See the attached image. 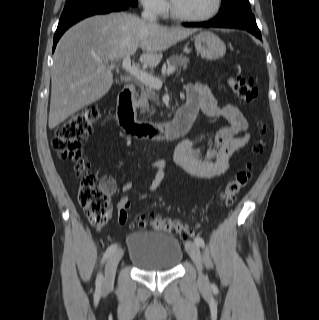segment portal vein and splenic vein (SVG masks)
I'll use <instances>...</instances> for the list:
<instances>
[{
    "mask_svg": "<svg viewBox=\"0 0 319 320\" xmlns=\"http://www.w3.org/2000/svg\"><path fill=\"white\" fill-rule=\"evenodd\" d=\"M110 67H113V65H111ZM122 68L125 71H127L130 75L136 77L139 81H141L142 83H144L149 87L156 88V89H160L162 87L163 82L160 79L144 72L138 66L131 65L130 56L123 58ZM174 72H175V67L169 66L167 69V75L169 76Z\"/></svg>",
    "mask_w": 319,
    "mask_h": 320,
    "instance_id": "obj_1",
    "label": "portal vein and splenic vein"
}]
</instances>
